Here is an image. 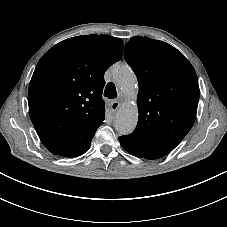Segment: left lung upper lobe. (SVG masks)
Wrapping results in <instances>:
<instances>
[{"instance_id": "left-lung-upper-lobe-1", "label": "left lung upper lobe", "mask_w": 227, "mask_h": 227, "mask_svg": "<svg viewBox=\"0 0 227 227\" xmlns=\"http://www.w3.org/2000/svg\"><path fill=\"white\" fill-rule=\"evenodd\" d=\"M124 58L139 83V120L127 138L168 154L192 128L199 100L195 70L173 46L135 36Z\"/></svg>"}]
</instances>
